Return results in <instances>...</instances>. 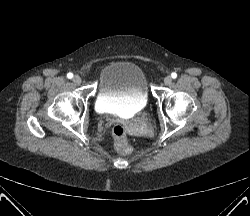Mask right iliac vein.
Segmentation results:
<instances>
[{
    "label": "right iliac vein",
    "instance_id": "obj_1",
    "mask_svg": "<svg viewBox=\"0 0 250 216\" xmlns=\"http://www.w3.org/2000/svg\"><path fill=\"white\" fill-rule=\"evenodd\" d=\"M81 77L80 76H78V75H75L74 77H73V82L75 83V84H77V85H79L80 83H81Z\"/></svg>",
    "mask_w": 250,
    "mask_h": 216
}]
</instances>
